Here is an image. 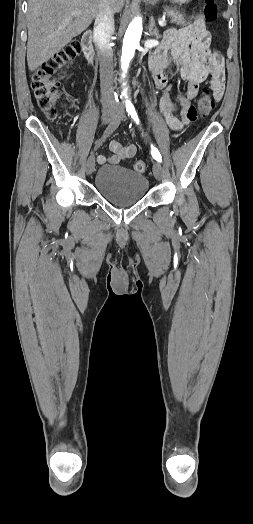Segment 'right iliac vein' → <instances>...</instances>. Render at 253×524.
Instances as JSON below:
<instances>
[{"label":"right iliac vein","instance_id":"obj_1","mask_svg":"<svg viewBox=\"0 0 253 524\" xmlns=\"http://www.w3.org/2000/svg\"><path fill=\"white\" fill-rule=\"evenodd\" d=\"M114 114H115V109L113 108L105 109L102 114L103 123L108 124L114 117ZM94 167H95V159H94V156L92 155L88 158L87 163H86V168H85L86 174L87 175L92 174Z\"/></svg>","mask_w":253,"mask_h":524}]
</instances>
